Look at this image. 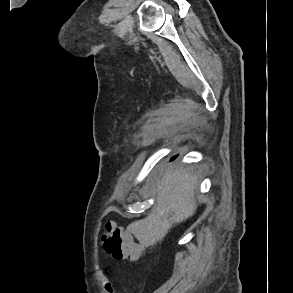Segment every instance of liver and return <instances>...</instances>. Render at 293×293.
Listing matches in <instances>:
<instances>
[{"instance_id":"liver-1","label":"liver","mask_w":293,"mask_h":293,"mask_svg":"<svg viewBox=\"0 0 293 293\" xmlns=\"http://www.w3.org/2000/svg\"><path fill=\"white\" fill-rule=\"evenodd\" d=\"M198 178L186 168H171L157 180L152 192L156 204L148 216L128 227L134 236L147 246L161 242L173 225L191 217L196 211Z\"/></svg>"}]
</instances>
